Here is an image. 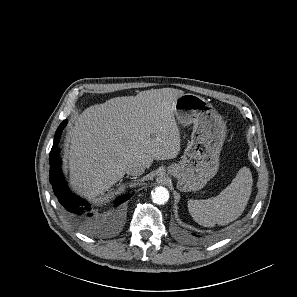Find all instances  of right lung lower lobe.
Returning <instances> with one entry per match:
<instances>
[{"mask_svg": "<svg viewBox=\"0 0 297 297\" xmlns=\"http://www.w3.org/2000/svg\"><path fill=\"white\" fill-rule=\"evenodd\" d=\"M66 125L67 120H64L56 130L54 143L49 154L50 183L59 203L71 217L74 224L85 233L95 234L98 231L100 219L96 218L93 215L92 208L90 207V204L87 201L74 195L70 191L61 172V159L58 154V144L63 129ZM132 195L133 194H127L118 198L114 205H120L121 203L131 198Z\"/></svg>", "mask_w": 297, "mask_h": 297, "instance_id": "98d812e1", "label": "right lung lower lobe"}]
</instances>
